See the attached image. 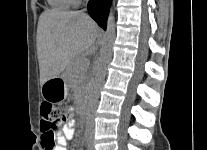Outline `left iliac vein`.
Listing matches in <instances>:
<instances>
[{
	"mask_svg": "<svg viewBox=\"0 0 207 150\" xmlns=\"http://www.w3.org/2000/svg\"><path fill=\"white\" fill-rule=\"evenodd\" d=\"M89 150H94V146H93V144H92V140H90Z\"/></svg>",
	"mask_w": 207,
	"mask_h": 150,
	"instance_id": "obj_1",
	"label": "left iliac vein"
}]
</instances>
